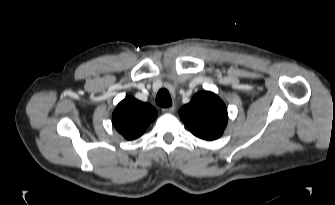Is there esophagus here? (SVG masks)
Returning <instances> with one entry per match:
<instances>
[{"label": "esophagus", "instance_id": "obj_1", "mask_svg": "<svg viewBox=\"0 0 335 205\" xmlns=\"http://www.w3.org/2000/svg\"><path fill=\"white\" fill-rule=\"evenodd\" d=\"M176 107L175 106H171V107H167V108H162V111L164 113H173L175 111Z\"/></svg>", "mask_w": 335, "mask_h": 205}]
</instances>
